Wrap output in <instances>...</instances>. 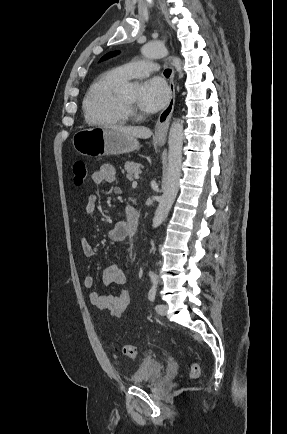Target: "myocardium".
Wrapping results in <instances>:
<instances>
[{
    "mask_svg": "<svg viewBox=\"0 0 287 434\" xmlns=\"http://www.w3.org/2000/svg\"><path fill=\"white\" fill-rule=\"evenodd\" d=\"M118 101L128 116L136 115L137 111L134 104L127 102L120 94H118Z\"/></svg>",
    "mask_w": 287,
    "mask_h": 434,
    "instance_id": "1",
    "label": "myocardium"
}]
</instances>
